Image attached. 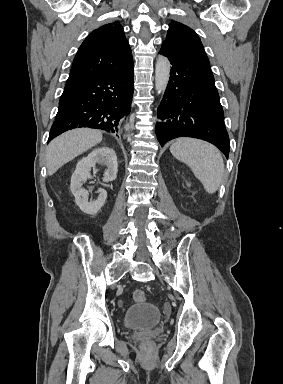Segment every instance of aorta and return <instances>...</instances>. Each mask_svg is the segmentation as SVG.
<instances>
[{"instance_id": "aorta-1", "label": "aorta", "mask_w": 283, "mask_h": 384, "mask_svg": "<svg viewBox=\"0 0 283 384\" xmlns=\"http://www.w3.org/2000/svg\"><path fill=\"white\" fill-rule=\"evenodd\" d=\"M170 69L171 64L169 60L164 56H160L155 65V89L159 94L163 93L168 85ZM129 128L128 123L125 125V130L129 131Z\"/></svg>"}]
</instances>
